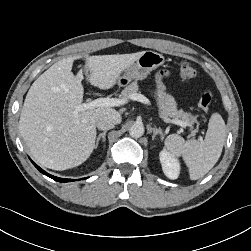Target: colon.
<instances>
[{"mask_svg":"<svg viewBox=\"0 0 251 251\" xmlns=\"http://www.w3.org/2000/svg\"><path fill=\"white\" fill-rule=\"evenodd\" d=\"M179 74L183 80H192L196 76V70L191 64L183 62L179 66ZM211 100V95L204 93L198 100V106L207 112L210 109Z\"/></svg>","mask_w":251,"mask_h":251,"instance_id":"obj_1","label":"colon"}]
</instances>
